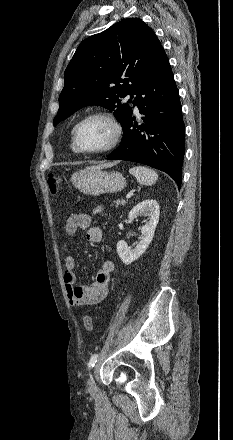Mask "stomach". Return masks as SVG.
Listing matches in <instances>:
<instances>
[{"mask_svg": "<svg viewBox=\"0 0 233 440\" xmlns=\"http://www.w3.org/2000/svg\"><path fill=\"white\" fill-rule=\"evenodd\" d=\"M74 187L86 195L98 196L116 193L126 187V180L117 171L107 172L95 167H87L71 176Z\"/></svg>", "mask_w": 233, "mask_h": 440, "instance_id": "obj_1", "label": "stomach"}]
</instances>
